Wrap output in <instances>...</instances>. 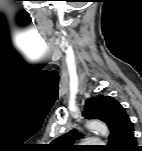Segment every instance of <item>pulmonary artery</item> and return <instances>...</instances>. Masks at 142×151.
Masks as SVG:
<instances>
[{"label":"pulmonary artery","instance_id":"1","mask_svg":"<svg viewBox=\"0 0 142 151\" xmlns=\"http://www.w3.org/2000/svg\"><path fill=\"white\" fill-rule=\"evenodd\" d=\"M86 142L93 145H98L102 143L99 139H95V138L88 139Z\"/></svg>","mask_w":142,"mask_h":151}]
</instances>
